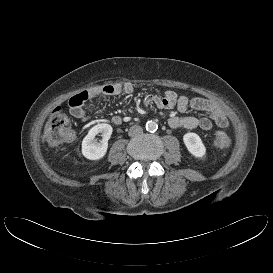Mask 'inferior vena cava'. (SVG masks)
Returning a JSON list of instances; mask_svg holds the SVG:
<instances>
[{
    "mask_svg": "<svg viewBox=\"0 0 273 273\" xmlns=\"http://www.w3.org/2000/svg\"><path fill=\"white\" fill-rule=\"evenodd\" d=\"M142 132H143V129L140 126L134 125L130 127L128 134L129 136L134 137V136L140 135Z\"/></svg>",
    "mask_w": 273,
    "mask_h": 273,
    "instance_id": "1",
    "label": "inferior vena cava"
}]
</instances>
